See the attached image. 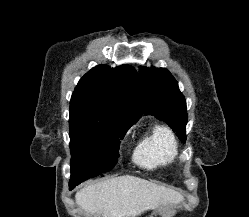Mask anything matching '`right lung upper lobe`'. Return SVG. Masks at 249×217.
Segmentation results:
<instances>
[{"instance_id": "obj_1", "label": "right lung upper lobe", "mask_w": 249, "mask_h": 217, "mask_svg": "<svg viewBox=\"0 0 249 217\" xmlns=\"http://www.w3.org/2000/svg\"><path fill=\"white\" fill-rule=\"evenodd\" d=\"M70 104L90 105L133 125L144 109L141 82L130 65L96 66L79 80Z\"/></svg>"}]
</instances>
